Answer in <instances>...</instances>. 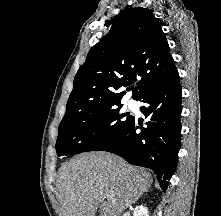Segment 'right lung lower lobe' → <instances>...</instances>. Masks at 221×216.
Instances as JSON below:
<instances>
[{"instance_id":"98d812e1","label":"right lung lower lobe","mask_w":221,"mask_h":216,"mask_svg":"<svg viewBox=\"0 0 221 216\" xmlns=\"http://www.w3.org/2000/svg\"><path fill=\"white\" fill-rule=\"evenodd\" d=\"M182 91L178 71L168 75L139 100L148 104L141 111L150 120L143 127L134 117L103 151L124 158L132 165L152 169L165 192L178 162L181 145ZM141 129L140 133L136 130Z\"/></svg>"}]
</instances>
